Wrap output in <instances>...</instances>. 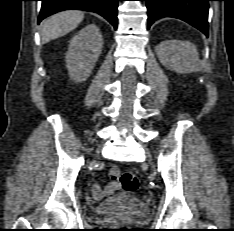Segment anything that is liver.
Listing matches in <instances>:
<instances>
[{"label":"liver","instance_id":"obj_1","mask_svg":"<svg viewBox=\"0 0 234 231\" xmlns=\"http://www.w3.org/2000/svg\"><path fill=\"white\" fill-rule=\"evenodd\" d=\"M83 18V12L69 10L56 13L45 19L41 24L42 43H48L71 32L82 22Z\"/></svg>","mask_w":234,"mask_h":231}]
</instances>
